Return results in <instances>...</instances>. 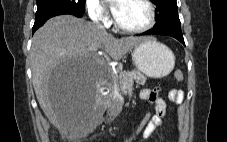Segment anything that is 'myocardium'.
Wrapping results in <instances>:
<instances>
[{"label":"myocardium","instance_id":"myocardium-1","mask_svg":"<svg viewBox=\"0 0 227 142\" xmlns=\"http://www.w3.org/2000/svg\"><path fill=\"white\" fill-rule=\"evenodd\" d=\"M148 11V19L145 24L139 27H126L120 24L117 19H114V26L117 30L122 31L124 33H129V34H137V33H143L145 31H148L151 29L155 22H156V8L151 0H141Z\"/></svg>","mask_w":227,"mask_h":142}]
</instances>
